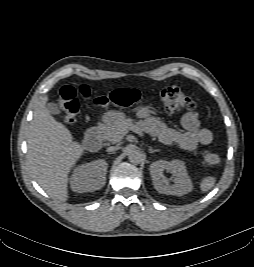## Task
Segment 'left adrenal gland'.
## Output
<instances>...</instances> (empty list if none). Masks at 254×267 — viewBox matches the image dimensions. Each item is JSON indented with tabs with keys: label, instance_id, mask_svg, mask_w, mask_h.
Wrapping results in <instances>:
<instances>
[{
	"label": "left adrenal gland",
	"instance_id": "a2214340",
	"mask_svg": "<svg viewBox=\"0 0 254 267\" xmlns=\"http://www.w3.org/2000/svg\"><path fill=\"white\" fill-rule=\"evenodd\" d=\"M159 149H153L152 147H149V153L159 152Z\"/></svg>",
	"mask_w": 254,
	"mask_h": 267
}]
</instances>
